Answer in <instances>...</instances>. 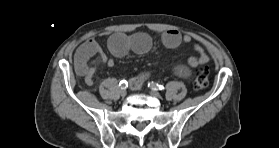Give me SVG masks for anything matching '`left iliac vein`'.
Segmentation results:
<instances>
[{"label": "left iliac vein", "mask_w": 279, "mask_h": 148, "mask_svg": "<svg viewBox=\"0 0 279 148\" xmlns=\"http://www.w3.org/2000/svg\"><path fill=\"white\" fill-rule=\"evenodd\" d=\"M150 94H151L152 96L158 98V99L161 98V95H160V93H159L158 91L151 90V91H150Z\"/></svg>", "instance_id": "4c4485c4"}]
</instances>
